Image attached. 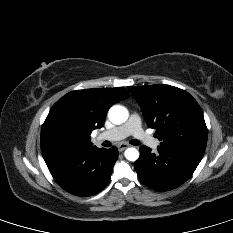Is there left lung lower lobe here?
I'll return each mask as SVG.
<instances>
[{"instance_id":"1","label":"left lung lower lobe","mask_w":233,"mask_h":233,"mask_svg":"<svg viewBox=\"0 0 233 233\" xmlns=\"http://www.w3.org/2000/svg\"><path fill=\"white\" fill-rule=\"evenodd\" d=\"M135 162L138 177L156 191H168L187 181L200 163L205 149L190 146H158V152L141 146Z\"/></svg>"}]
</instances>
